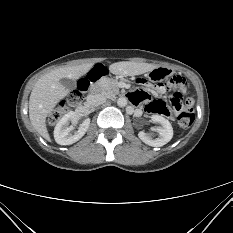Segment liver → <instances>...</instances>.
Returning a JSON list of instances; mask_svg holds the SVG:
<instances>
[{"label": "liver", "instance_id": "6515ba94", "mask_svg": "<svg viewBox=\"0 0 233 233\" xmlns=\"http://www.w3.org/2000/svg\"><path fill=\"white\" fill-rule=\"evenodd\" d=\"M92 67L93 63H87L58 68L43 75L34 85L29 99V118L34 129L46 140L50 141L46 117L68 94L60 80L62 78L77 80L87 74ZM156 67L148 63L122 61L111 64L109 70L115 75L135 76L150 72Z\"/></svg>", "mask_w": 233, "mask_h": 233}]
</instances>
